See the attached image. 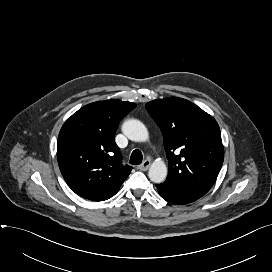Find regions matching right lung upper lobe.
<instances>
[{
	"label": "right lung upper lobe",
	"instance_id": "cb5924a9",
	"mask_svg": "<svg viewBox=\"0 0 272 272\" xmlns=\"http://www.w3.org/2000/svg\"><path fill=\"white\" fill-rule=\"evenodd\" d=\"M135 106L118 99L90 103L62 126L57 160L66 183L79 196L107 200L129 176L132 167L122 165L114 136L119 122Z\"/></svg>",
	"mask_w": 272,
	"mask_h": 272
}]
</instances>
